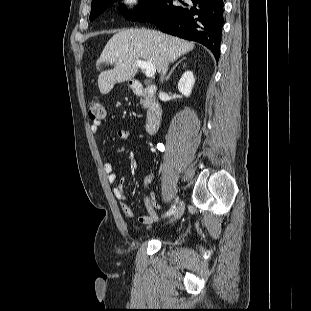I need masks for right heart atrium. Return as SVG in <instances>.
<instances>
[{
	"instance_id": "d8ad5b80",
	"label": "right heart atrium",
	"mask_w": 311,
	"mask_h": 311,
	"mask_svg": "<svg viewBox=\"0 0 311 311\" xmlns=\"http://www.w3.org/2000/svg\"><path fill=\"white\" fill-rule=\"evenodd\" d=\"M121 6L127 11H136L140 7V0H120Z\"/></svg>"
}]
</instances>
